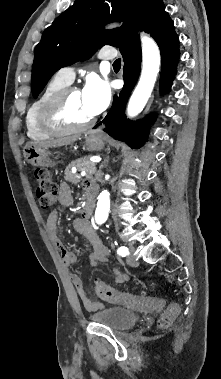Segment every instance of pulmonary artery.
Returning a JSON list of instances; mask_svg holds the SVG:
<instances>
[{
    "instance_id": "e3ab8cb5",
    "label": "pulmonary artery",
    "mask_w": 221,
    "mask_h": 379,
    "mask_svg": "<svg viewBox=\"0 0 221 379\" xmlns=\"http://www.w3.org/2000/svg\"><path fill=\"white\" fill-rule=\"evenodd\" d=\"M116 55L117 53L114 49L106 48L102 49L98 56L100 59L110 60L115 58ZM56 76L67 83H71L75 77V69L71 66L63 67L60 70H58Z\"/></svg>"
}]
</instances>
